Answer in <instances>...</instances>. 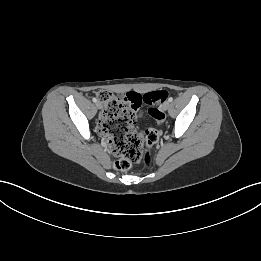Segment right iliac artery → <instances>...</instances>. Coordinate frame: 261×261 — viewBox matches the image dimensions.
Returning <instances> with one entry per match:
<instances>
[{
  "label": "right iliac artery",
  "instance_id": "1",
  "mask_svg": "<svg viewBox=\"0 0 261 261\" xmlns=\"http://www.w3.org/2000/svg\"><path fill=\"white\" fill-rule=\"evenodd\" d=\"M92 100H93V102H95V103L97 102V99H96L95 97H94Z\"/></svg>",
  "mask_w": 261,
  "mask_h": 261
}]
</instances>
